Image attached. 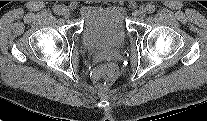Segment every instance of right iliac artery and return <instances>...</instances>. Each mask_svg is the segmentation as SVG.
Returning <instances> with one entry per match:
<instances>
[{"label":"right iliac artery","instance_id":"1","mask_svg":"<svg viewBox=\"0 0 207 121\" xmlns=\"http://www.w3.org/2000/svg\"><path fill=\"white\" fill-rule=\"evenodd\" d=\"M62 9H63L62 6L57 5V6H55V8H54V13L57 14V15H60V14H62Z\"/></svg>","mask_w":207,"mask_h":121}]
</instances>
